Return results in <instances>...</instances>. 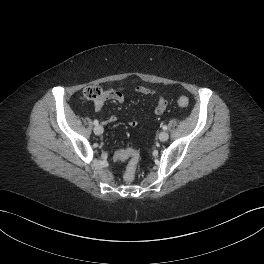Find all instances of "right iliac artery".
<instances>
[{"label": "right iliac artery", "mask_w": 264, "mask_h": 264, "mask_svg": "<svg viewBox=\"0 0 264 264\" xmlns=\"http://www.w3.org/2000/svg\"><path fill=\"white\" fill-rule=\"evenodd\" d=\"M99 122L97 120H94V125H98Z\"/></svg>", "instance_id": "82829eb1"}]
</instances>
